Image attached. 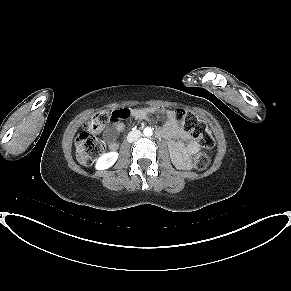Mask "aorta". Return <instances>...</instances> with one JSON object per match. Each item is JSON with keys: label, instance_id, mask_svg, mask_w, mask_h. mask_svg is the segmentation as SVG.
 <instances>
[{"label": "aorta", "instance_id": "aorta-1", "mask_svg": "<svg viewBox=\"0 0 291 291\" xmlns=\"http://www.w3.org/2000/svg\"><path fill=\"white\" fill-rule=\"evenodd\" d=\"M143 134L144 136L146 137H149V136H152L153 134V131L150 127H146L144 130H143Z\"/></svg>", "mask_w": 291, "mask_h": 291}]
</instances>
